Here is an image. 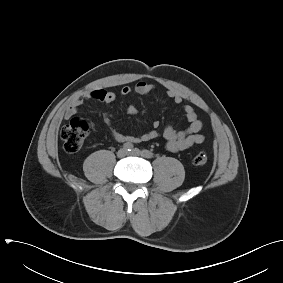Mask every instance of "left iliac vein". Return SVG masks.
Returning <instances> with one entry per match:
<instances>
[{
	"mask_svg": "<svg viewBox=\"0 0 283 283\" xmlns=\"http://www.w3.org/2000/svg\"><path fill=\"white\" fill-rule=\"evenodd\" d=\"M130 154L133 156H143L142 152L138 148L133 149Z\"/></svg>",
	"mask_w": 283,
	"mask_h": 283,
	"instance_id": "4c4485c4",
	"label": "left iliac vein"
}]
</instances>
